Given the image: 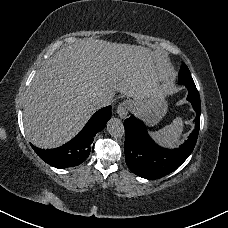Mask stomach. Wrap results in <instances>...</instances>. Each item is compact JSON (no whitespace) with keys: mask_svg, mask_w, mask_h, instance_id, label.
Wrapping results in <instances>:
<instances>
[{"mask_svg":"<svg viewBox=\"0 0 228 228\" xmlns=\"http://www.w3.org/2000/svg\"><path fill=\"white\" fill-rule=\"evenodd\" d=\"M149 101H153V103L149 104ZM128 102V105L131 106L133 111H141L145 113L151 124L157 123L166 111V104L163 101L162 96L147 95L145 100L139 101L137 99H133Z\"/></svg>","mask_w":228,"mask_h":228,"instance_id":"0dacf381","label":"stomach"}]
</instances>
